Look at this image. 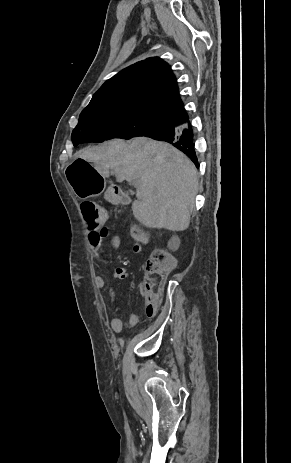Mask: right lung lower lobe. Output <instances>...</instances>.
I'll return each mask as SVG.
<instances>
[{"label": "right lung lower lobe", "instance_id": "obj_1", "mask_svg": "<svg viewBox=\"0 0 291 463\" xmlns=\"http://www.w3.org/2000/svg\"><path fill=\"white\" fill-rule=\"evenodd\" d=\"M168 125L144 137L159 141H166L185 153L192 162L198 167V159L195 152L194 133L190 122L181 124L177 120H168Z\"/></svg>", "mask_w": 291, "mask_h": 463}]
</instances>
